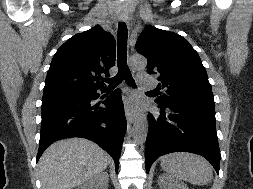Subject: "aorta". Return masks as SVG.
I'll use <instances>...</instances> for the list:
<instances>
[{
  "instance_id": "1",
  "label": "aorta",
  "mask_w": 253,
  "mask_h": 189,
  "mask_svg": "<svg viewBox=\"0 0 253 189\" xmlns=\"http://www.w3.org/2000/svg\"><path fill=\"white\" fill-rule=\"evenodd\" d=\"M131 64L136 68L146 67V59L141 56H132ZM148 134V120L145 114H140L135 119L133 125V138L137 144H143Z\"/></svg>"
}]
</instances>
